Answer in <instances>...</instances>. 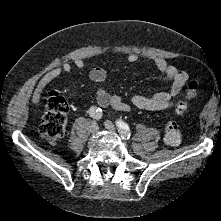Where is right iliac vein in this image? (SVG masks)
<instances>
[{"label": "right iliac vein", "mask_w": 221, "mask_h": 221, "mask_svg": "<svg viewBox=\"0 0 221 221\" xmlns=\"http://www.w3.org/2000/svg\"><path fill=\"white\" fill-rule=\"evenodd\" d=\"M99 130V127L96 123H94L92 126H91V133H97Z\"/></svg>", "instance_id": "1"}]
</instances>
